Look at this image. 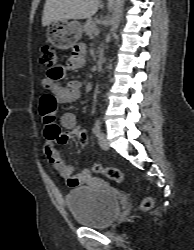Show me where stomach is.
<instances>
[{
  "label": "stomach",
  "mask_w": 194,
  "mask_h": 250,
  "mask_svg": "<svg viewBox=\"0 0 194 250\" xmlns=\"http://www.w3.org/2000/svg\"><path fill=\"white\" fill-rule=\"evenodd\" d=\"M50 42L58 49L73 47L82 36V26L76 21H54L48 25Z\"/></svg>",
  "instance_id": "obj_1"
}]
</instances>
